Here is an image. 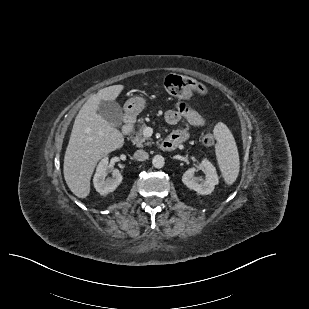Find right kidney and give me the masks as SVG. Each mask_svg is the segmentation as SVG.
I'll return each instance as SVG.
<instances>
[{"label": "right kidney", "mask_w": 309, "mask_h": 309, "mask_svg": "<svg viewBox=\"0 0 309 309\" xmlns=\"http://www.w3.org/2000/svg\"><path fill=\"white\" fill-rule=\"evenodd\" d=\"M110 171L108 158H103L96 169V173L93 178V184L97 192L101 195H106L113 192L122 182V175L118 169H113L112 177H107Z\"/></svg>", "instance_id": "right-kidney-1"}]
</instances>
